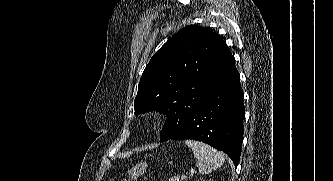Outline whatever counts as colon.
<instances>
[{
    "label": "colon",
    "mask_w": 333,
    "mask_h": 181,
    "mask_svg": "<svg viewBox=\"0 0 333 181\" xmlns=\"http://www.w3.org/2000/svg\"><path fill=\"white\" fill-rule=\"evenodd\" d=\"M149 164L148 162H141L133 166L127 171L126 178L121 181H138V179L144 174L147 170Z\"/></svg>",
    "instance_id": "5ec220e1"
}]
</instances>
